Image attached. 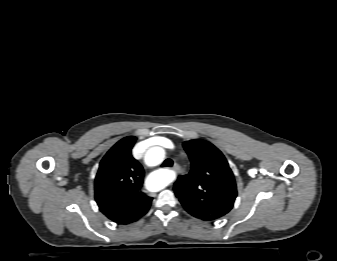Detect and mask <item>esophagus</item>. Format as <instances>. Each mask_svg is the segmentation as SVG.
<instances>
[{
  "label": "esophagus",
  "mask_w": 337,
  "mask_h": 261,
  "mask_svg": "<svg viewBox=\"0 0 337 261\" xmlns=\"http://www.w3.org/2000/svg\"><path fill=\"white\" fill-rule=\"evenodd\" d=\"M173 169H174V170H177V169H178V165L175 164V165L173 166Z\"/></svg>",
  "instance_id": "34e87169"
}]
</instances>
